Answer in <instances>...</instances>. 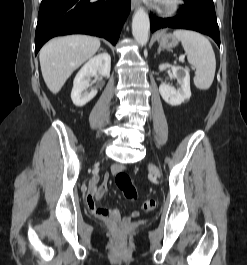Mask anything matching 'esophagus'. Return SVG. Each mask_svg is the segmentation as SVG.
<instances>
[{
  "label": "esophagus",
  "mask_w": 247,
  "mask_h": 265,
  "mask_svg": "<svg viewBox=\"0 0 247 265\" xmlns=\"http://www.w3.org/2000/svg\"><path fill=\"white\" fill-rule=\"evenodd\" d=\"M139 0H131V6L132 8H136L139 5Z\"/></svg>",
  "instance_id": "esophagus-1"
}]
</instances>
